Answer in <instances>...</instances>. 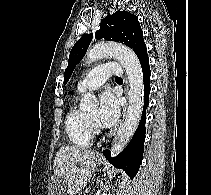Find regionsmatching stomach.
<instances>
[{"label":"stomach","mask_w":211,"mask_h":195,"mask_svg":"<svg viewBox=\"0 0 211 195\" xmlns=\"http://www.w3.org/2000/svg\"><path fill=\"white\" fill-rule=\"evenodd\" d=\"M96 160L98 161V164H104V160L102 158H97ZM53 184L55 186L56 185H59V186L61 185L62 188H66L67 187V183L62 178H59V177H55L54 178ZM56 195H61V192L57 191Z\"/></svg>","instance_id":"stomach-1"}]
</instances>
